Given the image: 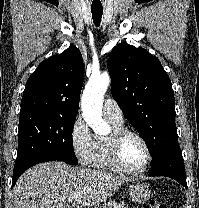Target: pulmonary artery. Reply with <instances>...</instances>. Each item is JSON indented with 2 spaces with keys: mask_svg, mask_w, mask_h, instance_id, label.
I'll list each match as a JSON object with an SVG mask.
<instances>
[{
  "mask_svg": "<svg viewBox=\"0 0 199 208\" xmlns=\"http://www.w3.org/2000/svg\"><path fill=\"white\" fill-rule=\"evenodd\" d=\"M103 115L115 124H123L124 117L121 108L113 99H105L103 104Z\"/></svg>",
  "mask_w": 199,
  "mask_h": 208,
  "instance_id": "pulmonary-artery-1",
  "label": "pulmonary artery"
}]
</instances>
